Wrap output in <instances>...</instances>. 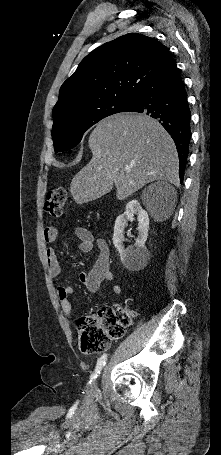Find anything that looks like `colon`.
Returning <instances> with one entry per match:
<instances>
[{"label":"colon","instance_id":"colon-1","mask_svg":"<svg viewBox=\"0 0 221 455\" xmlns=\"http://www.w3.org/2000/svg\"><path fill=\"white\" fill-rule=\"evenodd\" d=\"M68 198V190L58 186L46 196L44 209L52 217L63 213ZM134 312L120 305L101 308L96 315H87L78 319L80 348L85 353H96L105 350L109 342L121 338L132 323Z\"/></svg>","mask_w":221,"mask_h":455}]
</instances>
